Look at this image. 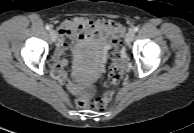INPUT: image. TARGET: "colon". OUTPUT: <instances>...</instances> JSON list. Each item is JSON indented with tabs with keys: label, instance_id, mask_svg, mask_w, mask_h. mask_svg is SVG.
I'll return each mask as SVG.
<instances>
[{
	"label": "colon",
	"instance_id": "1",
	"mask_svg": "<svg viewBox=\"0 0 194 133\" xmlns=\"http://www.w3.org/2000/svg\"><path fill=\"white\" fill-rule=\"evenodd\" d=\"M115 50L111 54L112 65L110 67L109 77L106 82L107 85H116L120 82L122 76L121 60L123 58L118 47L120 44L119 39L113 40ZM113 98L112 91H106L103 95L96 98L92 97V91H84L77 99L76 103L81 108L103 110Z\"/></svg>",
	"mask_w": 194,
	"mask_h": 133
}]
</instances>
